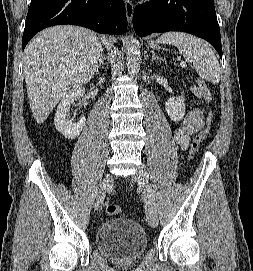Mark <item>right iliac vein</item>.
<instances>
[{
	"mask_svg": "<svg viewBox=\"0 0 253 271\" xmlns=\"http://www.w3.org/2000/svg\"><path fill=\"white\" fill-rule=\"evenodd\" d=\"M113 182V177L111 174H106L104 177L102 184L99 188L98 196H97V201L95 204V209L99 210L102 207L103 201L105 199V195L107 190L110 188L111 184Z\"/></svg>",
	"mask_w": 253,
	"mask_h": 271,
	"instance_id": "right-iliac-vein-1",
	"label": "right iliac vein"
}]
</instances>
